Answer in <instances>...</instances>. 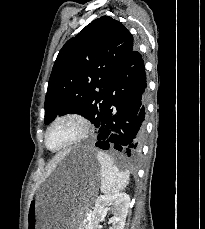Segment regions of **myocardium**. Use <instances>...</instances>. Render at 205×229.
Listing matches in <instances>:
<instances>
[{"instance_id":"myocardium-1","label":"myocardium","mask_w":205,"mask_h":229,"mask_svg":"<svg viewBox=\"0 0 205 229\" xmlns=\"http://www.w3.org/2000/svg\"><path fill=\"white\" fill-rule=\"evenodd\" d=\"M62 122H71L76 125L77 127V133L76 135L70 139L65 144L57 147V148H51L48 144V136L51 130L59 123ZM90 132V121L89 119L79 112H67L64 114H61L57 116L47 127L45 133H44V145L45 147L52 151V152H59L62 150H65L67 148H70L81 141H83Z\"/></svg>"}]
</instances>
